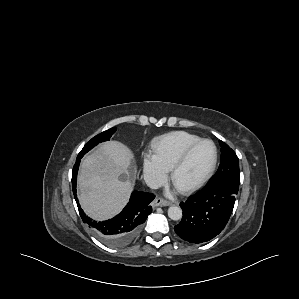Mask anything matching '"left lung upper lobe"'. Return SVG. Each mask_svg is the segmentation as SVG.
<instances>
[{
	"label": "left lung upper lobe",
	"mask_w": 299,
	"mask_h": 299,
	"mask_svg": "<svg viewBox=\"0 0 299 299\" xmlns=\"http://www.w3.org/2000/svg\"><path fill=\"white\" fill-rule=\"evenodd\" d=\"M221 144V162L216 174L208 184L228 183L239 187V161L235 152L224 142Z\"/></svg>",
	"instance_id": "5c2ea615"
}]
</instances>
